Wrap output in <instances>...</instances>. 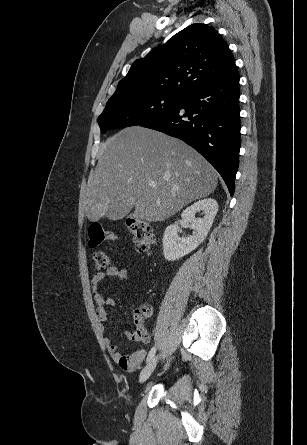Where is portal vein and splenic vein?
I'll return each instance as SVG.
<instances>
[{"label":"portal vein and splenic vein","mask_w":307,"mask_h":445,"mask_svg":"<svg viewBox=\"0 0 307 445\" xmlns=\"http://www.w3.org/2000/svg\"><path fill=\"white\" fill-rule=\"evenodd\" d=\"M150 186H156V182H149ZM172 190H178V186L177 188H172Z\"/></svg>","instance_id":"18ae733b"}]
</instances>
